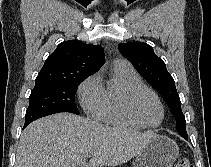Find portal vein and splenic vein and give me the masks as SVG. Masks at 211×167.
Returning <instances> with one entry per match:
<instances>
[{
	"label": "portal vein and splenic vein",
	"instance_id": "18ae733b",
	"mask_svg": "<svg viewBox=\"0 0 211 167\" xmlns=\"http://www.w3.org/2000/svg\"><path fill=\"white\" fill-rule=\"evenodd\" d=\"M87 157H92V155L89 154V155H87Z\"/></svg>",
	"mask_w": 211,
	"mask_h": 167
}]
</instances>
